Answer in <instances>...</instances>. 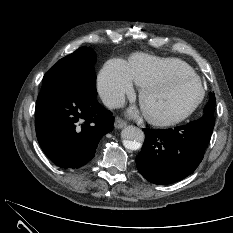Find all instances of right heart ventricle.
Here are the masks:
<instances>
[{"label":"right heart ventricle","instance_id":"e07e8e85","mask_svg":"<svg viewBox=\"0 0 233 233\" xmlns=\"http://www.w3.org/2000/svg\"><path fill=\"white\" fill-rule=\"evenodd\" d=\"M126 64L133 83L139 87L163 77L194 73L192 67L180 59L144 53L132 55Z\"/></svg>","mask_w":233,"mask_h":233}]
</instances>
